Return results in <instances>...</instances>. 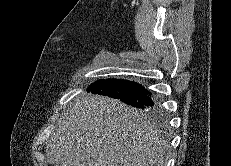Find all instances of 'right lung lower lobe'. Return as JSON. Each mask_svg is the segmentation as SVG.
<instances>
[{"label": "right lung lower lobe", "mask_w": 231, "mask_h": 166, "mask_svg": "<svg viewBox=\"0 0 231 166\" xmlns=\"http://www.w3.org/2000/svg\"><path fill=\"white\" fill-rule=\"evenodd\" d=\"M87 91L119 99L141 110L152 112L160 110L159 104L152 93L134 81L101 79L92 84Z\"/></svg>", "instance_id": "right-lung-lower-lobe-1"}]
</instances>
